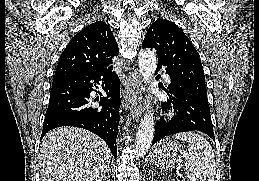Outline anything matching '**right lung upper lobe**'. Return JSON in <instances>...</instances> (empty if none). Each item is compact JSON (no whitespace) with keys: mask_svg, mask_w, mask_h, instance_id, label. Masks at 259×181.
I'll use <instances>...</instances> for the list:
<instances>
[{"mask_svg":"<svg viewBox=\"0 0 259 181\" xmlns=\"http://www.w3.org/2000/svg\"><path fill=\"white\" fill-rule=\"evenodd\" d=\"M118 51L110 27L103 21L94 22L70 40L60 56L53 82L80 72L107 67Z\"/></svg>","mask_w":259,"mask_h":181,"instance_id":"cb5924a9","label":"right lung upper lobe"}]
</instances>
